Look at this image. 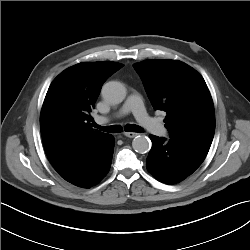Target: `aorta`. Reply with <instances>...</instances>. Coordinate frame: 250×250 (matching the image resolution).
Wrapping results in <instances>:
<instances>
[{
    "label": "aorta",
    "mask_w": 250,
    "mask_h": 250,
    "mask_svg": "<svg viewBox=\"0 0 250 250\" xmlns=\"http://www.w3.org/2000/svg\"><path fill=\"white\" fill-rule=\"evenodd\" d=\"M101 94L105 101L119 104L126 98L127 90L121 82L110 81L103 85ZM132 147L136 152L144 154L150 150L151 143L146 136L139 135L133 139Z\"/></svg>",
    "instance_id": "762f6f07"
}]
</instances>
